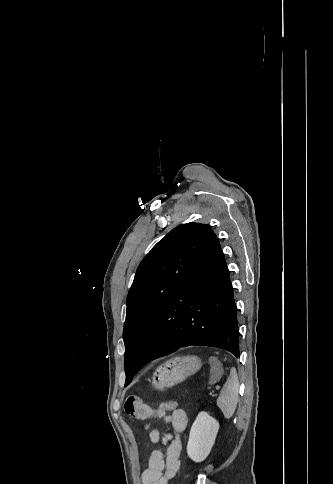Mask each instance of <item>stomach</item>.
Listing matches in <instances>:
<instances>
[{
  "instance_id": "1",
  "label": "stomach",
  "mask_w": 333,
  "mask_h": 484,
  "mask_svg": "<svg viewBox=\"0 0 333 484\" xmlns=\"http://www.w3.org/2000/svg\"><path fill=\"white\" fill-rule=\"evenodd\" d=\"M202 366L198 356H177L159 365L152 377L155 389L163 391L184 381Z\"/></svg>"
}]
</instances>
